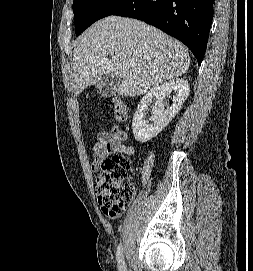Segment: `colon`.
Returning <instances> with one entry per match:
<instances>
[{"instance_id": "colon-1", "label": "colon", "mask_w": 253, "mask_h": 271, "mask_svg": "<svg viewBox=\"0 0 253 271\" xmlns=\"http://www.w3.org/2000/svg\"><path fill=\"white\" fill-rule=\"evenodd\" d=\"M114 117L118 122L128 119V110L120 97L113 100ZM130 160L124 155L104 158L95 179L96 194L102 210L110 219L118 218L132 201L135 188L126 182Z\"/></svg>"}]
</instances>
